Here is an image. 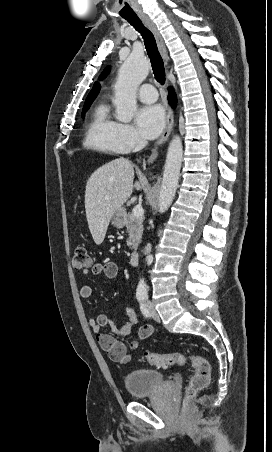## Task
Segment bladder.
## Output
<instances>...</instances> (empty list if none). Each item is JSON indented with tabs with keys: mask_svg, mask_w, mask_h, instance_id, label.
<instances>
[{
	"mask_svg": "<svg viewBox=\"0 0 272 452\" xmlns=\"http://www.w3.org/2000/svg\"><path fill=\"white\" fill-rule=\"evenodd\" d=\"M164 376L160 371L151 369H132L123 376V384L133 398L151 395L164 385Z\"/></svg>",
	"mask_w": 272,
	"mask_h": 452,
	"instance_id": "bladder-1",
	"label": "bladder"
}]
</instances>
